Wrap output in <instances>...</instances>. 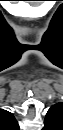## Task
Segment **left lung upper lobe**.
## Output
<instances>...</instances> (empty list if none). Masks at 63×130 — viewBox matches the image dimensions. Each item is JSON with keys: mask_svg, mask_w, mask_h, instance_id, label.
<instances>
[{"mask_svg": "<svg viewBox=\"0 0 63 130\" xmlns=\"http://www.w3.org/2000/svg\"><path fill=\"white\" fill-rule=\"evenodd\" d=\"M43 130H63V103L50 107L46 114Z\"/></svg>", "mask_w": 63, "mask_h": 130, "instance_id": "left-lung-upper-lobe-1", "label": "left lung upper lobe"}]
</instances>
